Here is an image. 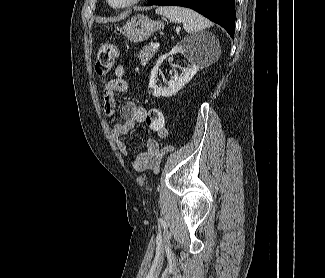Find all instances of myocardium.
<instances>
[{"label":"myocardium","instance_id":"myocardium-1","mask_svg":"<svg viewBox=\"0 0 325 278\" xmlns=\"http://www.w3.org/2000/svg\"><path fill=\"white\" fill-rule=\"evenodd\" d=\"M108 5L114 9H126V8H130L136 4H138L140 1L142 0H128L127 2L123 3V4H114L111 0H106Z\"/></svg>","mask_w":325,"mask_h":278}]
</instances>
